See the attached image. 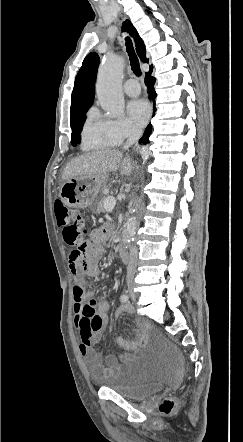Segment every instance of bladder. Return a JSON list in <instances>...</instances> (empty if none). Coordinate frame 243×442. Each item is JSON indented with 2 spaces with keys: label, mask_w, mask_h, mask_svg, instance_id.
<instances>
[{
  "label": "bladder",
  "mask_w": 243,
  "mask_h": 442,
  "mask_svg": "<svg viewBox=\"0 0 243 442\" xmlns=\"http://www.w3.org/2000/svg\"><path fill=\"white\" fill-rule=\"evenodd\" d=\"M101 387L113 390L125 398L140 400L160 391L162 381L152 360L130 355L118 363L101 383Z\"/></svg>",
  "instance_id": "bladder-1"
}]
</instances>
